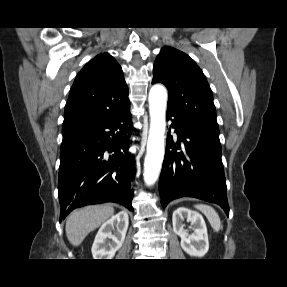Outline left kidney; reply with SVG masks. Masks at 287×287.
I'll use <instances>...</instances> for the list:
<instances>
[{
  "label": "left kidney",
  "instance_id": "obj_1",
  "mask_svg": "<svg viewBox=\"0 0 287 287\" xmlns=\"http://www.w3.org/2000/svg\"><path fill=\"white\" fill-rule=\"evenodd\" d=\"M191 222L193 233L184 229V220ZM173 231L181 238L182 249L190 256L202 257L209 249L208 234L205 221L196 211L180 207L173 212Z\"/></svg>",
  "mask_w": 287,
  "mask_h": 287
}]
</instances>
